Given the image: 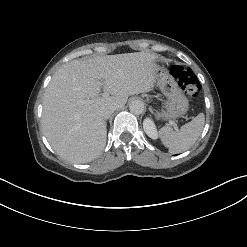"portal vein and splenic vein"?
<instances>
[{"label":"portal vein and splenic vein","mask_w":247,"mask_h":247,"mask_svg":"<svg viewBox=\"0 0 247 247\" xmlns=\"http://www.w3.org/2000/svg\"><path fill=\"white\" fill-rule=\"evenodd\" d=\"M99 84L102 85V82H99ZM107 96H109V92L105 91L103 93V97H107ZM171 124H174V123H171ZM174 128H175V130H177V127L176 126Z\"/></svg>","instance_id":"portal-vein-and-splenic-vein-1"}]
</instances>
